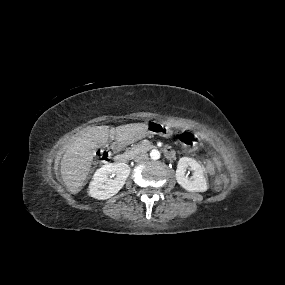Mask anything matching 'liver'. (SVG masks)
<instances>
[{
  "label": "liver",
  "mask_w": 285,
  "mask_h": 285,
  "mask_svg": "<svg viewBox=\"0 0 285 285\" xmlns=\"http://www.w3.org/2000/svg\"><path fill=\"white\" fill-rule=\"evenodd\" d=\"M147 131V124L133 123L109 129V126L89 127L67 147L61 160V178L72 194L78 193L85 183L93 161L92 149L105 146L109 136L119 141L139 138Z\"/></svg>",
  "instance_id": "obj_1"
}]
</instances>
